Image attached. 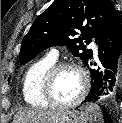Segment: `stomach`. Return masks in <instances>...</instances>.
I'll return each mask as SVG.
<instances>
[{"label": "stomach", "instance_id": "obj_1", "mask_svg": "<svg viewBox=\"0 0 122 123\" xmlns=\"http://www.w3.org/2000/svg\"><path fill=\"white\" fill-rule=\"evenodd\" d=\"M88 116L84 112L64 110L50 123H87Z\"/></svg>", "mask_w": 122, "mask_h": 123}]
</instances>
